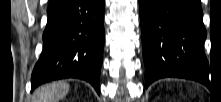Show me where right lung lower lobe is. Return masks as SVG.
<instances>
[{"label": "right lung lower lobe", "instance_id": "right-lung-lower-lobe-1", "mask_svg": "<svg viewBox=\"0 0 221 102\" xmlns=\"http://www.w3.org/2000/svg\"><path fill=\"white\" fill-rule=\"evenodd\" d=\"M105 0H51L43 51L31 77V91L58 79L78 78L99 94L104 46Z\"/></svg>", "mask_w": 221, "mask_h": 102}]
</instances>
